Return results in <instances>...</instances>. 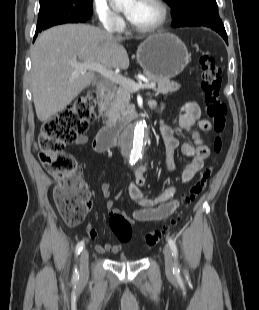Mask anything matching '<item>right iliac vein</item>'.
Listing matches in <instances>:
<instances>
[{"instance_id":"1","label":"right iliac vein","mask_w":259,"mask_h":310,"mask_svg":"<svg viewBox=\"0 0 259 310\" xmlns=\"http://www.w3.org/2000/svg\"><path fill=\"white\" fill-rule=\"evenodd\" d=\"M88 261H89V254L86 249L81 252L80 255V278L86 279L88 276Z\"/></svg>"}]
</instances>
